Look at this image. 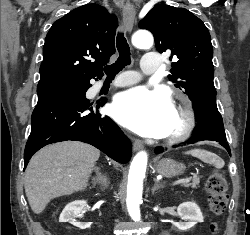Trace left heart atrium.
Returning a JSON list of instances; mask_svg holds the SVG:
<instances>
[{
  "mask_svg": "<svg viewBox=\"0 0 250 235\" xmlns=\"http://www.w3.org/2000/svg\"><path fill=\"white\" fill-rule=\"evenodd\" d=\"M174 111L167 93L144 87L118 94L112 105V115L121 125L146 137H163Z\"/></svg>",
  "mask_w": 250,
  "mask_h": 235,
  "instance_id": "39dd6f15",
  "label": "left heart atrium"
}]
</instances>
